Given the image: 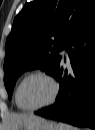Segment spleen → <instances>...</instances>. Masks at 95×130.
I'll return each mask as SVG.
<instances>
[{"instance_id":"3e777b00","label":"spleen","mask_w":95,"mask_h":130,"mask_svg":"<svg viewBox=\"0 0 95 130\" xmlns=\"http://www.w3.org/2000/svg\"><path fill=\"white\" fill-rule=\"evenodd\" d=\"M58 126H59V130H77L76 127L61 122L59 123Z\"/></svg>"}]
</instances>
